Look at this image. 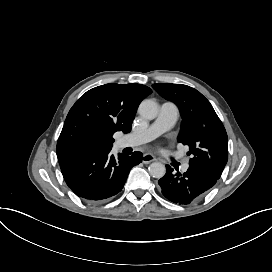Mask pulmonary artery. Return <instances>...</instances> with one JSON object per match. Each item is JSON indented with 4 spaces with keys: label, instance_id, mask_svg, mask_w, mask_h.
Returning <instances> with one entry per match:
<instances>
[{
    "label": "pulmonary artery",
    "instance_id": "e3ab8cb5",
    "mask_svg": "<svg viewBox=\"0 0 272 272\" xmlns=\"http://www.w3.org/2000/svg\"><path fill=\"white\" fill-rule=\"evenodd\" d=\"M178 119V110L176 106L172 103L166 102L162 104L159 108V113L156 120L149 126L140 129L139 131L126 135L115 142V146L120 148L127 144L135 143H146L155 139L160 134L168 131L173 127ZM178 168L182 172H188L189 166L184 162L178 163Z\"/></svg>",
    "mask_w": 272,
    "mask_h": 272
}]
</instances>
